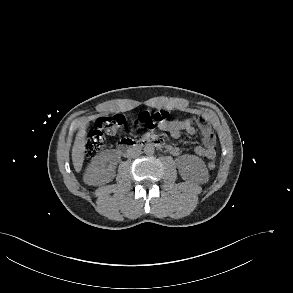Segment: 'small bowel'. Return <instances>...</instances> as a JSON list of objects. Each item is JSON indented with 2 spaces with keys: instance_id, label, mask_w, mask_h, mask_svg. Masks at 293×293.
<instances>
[{
  "instance_id": "obj_1",
  "label": "small bowel",
  "mask_w": 293,
  "mask_h": 293,
  "mask_svg": "<svg viewBox=\"0 0 293 293\" xmlns=\"http://www.w3.org/2000/svg\"><path fill=\"white\" fill-rule=\"evenodd\" d=\"M195 122L199 123L203 145L196 146L194 148V153L199 157L213 159L216 155V138L211 126L204 117L199 116L189 119L173 118L164 123L160 128L168 132L173 138H179L183 133L194 135L196 130L193 124ZM166 149L174 156H179L181 154L180 149L176 146L167 145Z\"/></svg>"
}]
</instances>
